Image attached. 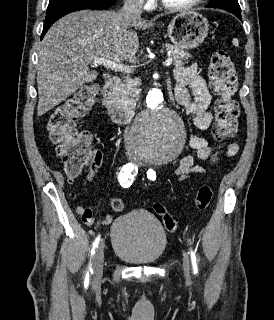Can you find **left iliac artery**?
<instances>
[{"instance_id":"1","label":"left iliac artery","mask_w":274,"mask_h":320,"mask_svg":"<svg viewBox=\"0 0 274 320\" xmlns=\"http://www.w3.org/2000/svg\"><path fill=\"white\" fill-rule=\"evenodd\" d=\"M147 177L148 179L150 180H155L156 179V173L154 170L152 169H149L147 171ZM191 261H192V266H193V271H194V274H196L198 272V267H197V258H196V255H195V252L193 250H191Z\"/></svg>"}]
</instances>
